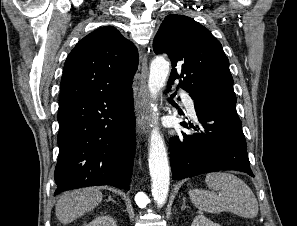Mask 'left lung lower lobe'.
<instances>
[{
  "label": "left lung lower lobe",
  "mask_w": 297,
  "mask_h": 226,
  "mask_svg": "<svg viewBox=\"0 0 297 226\" xmlns=\"http://www.w3.org/2000/svg\"><path fill=\"white\" fill-rule=\"evenodd\" d=\"M194 105L200 125L189 126L197 133H183L180 138L170 139L172 179L219 170H237L254 177L235 103L194 101ZM181 125L188 128L186 123Z\"/></svg>",
  "instance_id": "0a47b994"
}]
</instances>
